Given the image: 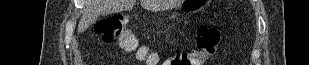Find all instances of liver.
<instances>
[{
	"mask_svg": "<svg viewBox=\"0 0 309 65\" xmlns=\"http://www.w3.org/2000/svg\"><path fill=\"white\" fill-rule=\"evenodd\" d=\"M143 8L158 11L167 8L169 3L163 0H141ZM135 0H85V9L78 23V33L87 30L100 16L130 10Z\"/></svg>",
	"mask_w": 309,
	"mask_h": 65,
	"instance_id": "liver-1",
	"label": "liver"
}]
</instances>
